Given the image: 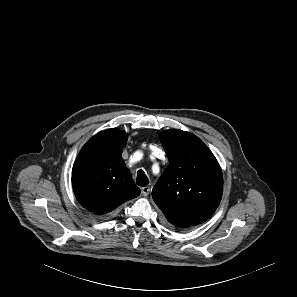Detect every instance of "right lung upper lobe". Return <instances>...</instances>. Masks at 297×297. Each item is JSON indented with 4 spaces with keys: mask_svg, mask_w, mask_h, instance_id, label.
<instances>
[{
    "mask_svg": "<svg viewBox=\"0 0 297 297\" xmlns=\"http://www.w3.org/2000/svg\"><path fill=\"white\" fill-rule=\"evenodd\" d=\"M127 140L124 131L108 129L93 136L80 151L72 170V186L87 210L109 213L140 194L121 156Z\"/></svg>",
    "mask_w": 297,
    "mask_h": 297,
    "instance_id": "cb5924a9",
    "label": "right lung upper lobe"
}]
</instances>
